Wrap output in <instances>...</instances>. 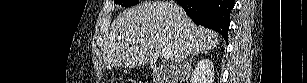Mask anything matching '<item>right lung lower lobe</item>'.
Listing matches in <instances>:
<instances>
[{"instance_id":"1","label":"right lung lower lobe","mask_w":307,"mask_h":83,"mask_svg":"<svg viewBox=\"0 0 307 83\" xmlns=\"http://www.w3.org/2000/svg\"><path fill=\"white\" fill-rule=\"evenodd\" d=\"M196 23L219 32L227 41L234 0H177Z\"/></svg>"}]
</instances>
